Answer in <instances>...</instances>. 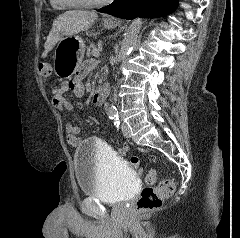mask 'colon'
I'll return each instance as SVG.
<instances>
[{"label":"colon","mask_w":240,"mask_h":238,"mask_svg":"<svg viewBox=\"0 0 240 238\" xmlns=\"http://www.w3.org/2000/svg\"><path fill=\"white\" fill-rule=\"evenodd\" d=\"M52 71V65L49 62L41 61L38 64V73L45 80L52 76ZM145 179L150 184L155 183L157 172L154 169L149 170ZM174 188V182L171 179H163L155 186L145 187L135 204L136 212L142 214L159 208L163 200L173 194Z\"/></svg>","instance_id":"1"}]
</instances>
